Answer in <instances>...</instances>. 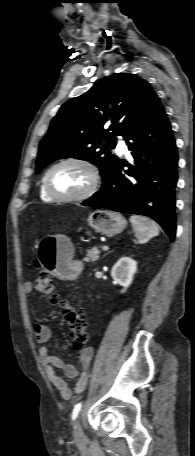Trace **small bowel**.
Returning a JSON list of instances; mask_svg holds the SVG:
<instances>
[{
	"label": "small bowel",
	"mask_w": 195,
	"mask_h": 456,
	"mask_svg": "<svg viewBox=\"0 0 195 456\" xmlns=\"http://www.w3.org/2000/svg\"><path fill=\"white\" fill-rule=\"evenodd\" d=\"M24 291L27 294L31 293V285L26 284L24 286ZM34 332L36 339L39 343L44 344L48 342L50 338V330L46 325L41 323H35ZM92 357V347L85 349L81 354V364L85 369H88L91 366ZM39 358L42 366L45 369L48 379L57 389V391L63 399H69L72 396V391L69 388L67 382L56 374V369L62 370L66 377L77 380L75 386L76 393H81L82 391H84L88 382V375L86 372H79L75 366L65 363L57 356L51 354L46 346L40 347Z\"/></svg>",
	"instance_id": "obj_1"
}]
</instances>
